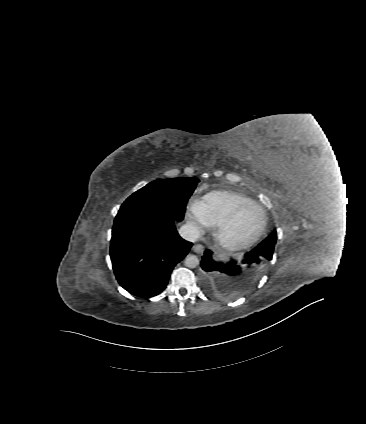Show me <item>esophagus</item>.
<instances>
[{"label":"esophagus","instance_id":"1","mask_svg":"<svg viewBox=\"0 0 366 424\" xmlns=\"http://www.w3.org/2000/svg\"><path fill=\"white\" fill-rule=\"evenodd\" d=\"M192 249L196 253H202L204 251V247L201 244H195Z\"/></svg>","mask_w":366,"mask_h":424}]
</instances>
